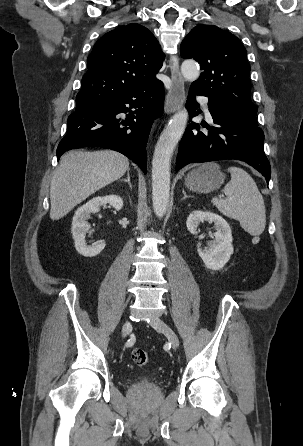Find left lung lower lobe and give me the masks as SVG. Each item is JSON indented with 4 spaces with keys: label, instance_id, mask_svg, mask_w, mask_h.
Here are the masks:
<instances>
[{
    "label": "left lung lower lobe",
    "instance_id": "0a47b994",
    "mask_svg": "<svg viewBox=\"0 0 303 446\" xmlns=\"http://www.w3.org/2000/svg\"><path fill=\"white\" fill-rule=\"evenodd\" d=\"M195 95L208 97L190 87L187 100L190 117L197 115L195 110L199 107ZM208 107L215 125L208 126V132L200 131L199 124L194 122L187 126L176 159L177 171L193 162L235 159L253 166L269 182L271 168L264 153V134L258 124L221 100L208 97Z\"/></svg>",
    "mask_w": 303,
    "mask_h": 446
}]
</instances>
